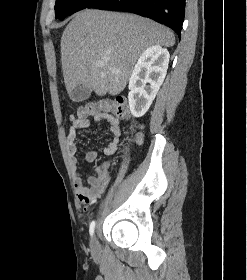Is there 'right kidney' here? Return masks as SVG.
<instances>
[{
  "mask_svg": "<svg viewBox=\"0 0 247 280\" xmlns=\"http://www.w3.org/2000/svg\"><path fill=\"white\" fill-rule=\"evenodd\" d=\"M169 52L154 45L142 52L129 80V107L134 117L143 116L162 85L169 63Z\"/></svg>",
  "mask_w": 247,
  "mask_h": 280,
  "instance_id": "right-kidney-1",
  "label": "right kidney"
}]
</instances>
